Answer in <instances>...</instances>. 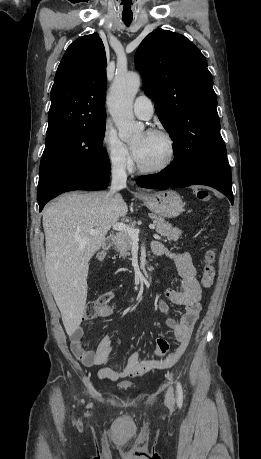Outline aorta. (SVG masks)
Listing matches in <instances>:
<instances>
[{
  "mask_svg": "<svg viewBox=\"0 0 261 459\" xmlns=\"http://www.w3.org/2000/svg\"><path fill=\"white\" fill-rule=\"evenodd\" d=\"M140 87L137 73L117 74L107 97V105L119 137L128 142L143 131L144 125L136 122L133 115V101Z\"/></svg>",
  "mask_w": 261,
  "mask_h": 459,
  "instance_id": "1",
  "label": "aorta"
}]
</instances>
